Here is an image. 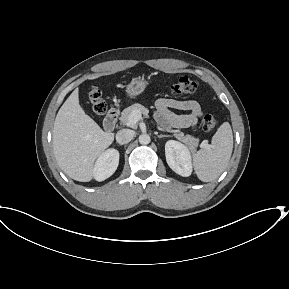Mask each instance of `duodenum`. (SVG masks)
Returning <instances> with one entry per match:
<instances>
[{"instance_id": "obj_1", "label": "duodenum", "mask_w": 289, "mask_h": 289, "mask_svg": "<svg viewBox=\"0 0 289 289\" xmlns=\"http://www.w3.org/2000/svg\"><path fill=\"white\" fill-rule=\"evenodd\" d=\"M118 120V112L116 109L112 108L108 111L105 119H104V128L107 131L114 130Z\"/></svg>"}]
</instances>
